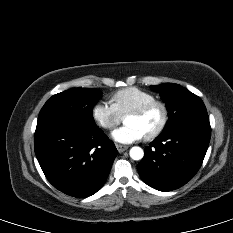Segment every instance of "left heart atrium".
<instances>
[{
  "mask_svg": "<svg viewBox=\"0 0 233 233\" xmlns=\"http://www.w3.org/2000/svg\"><path fill=\"white\" fill-rule=\"evenodd\" d=\"M145 137L144 133L133 124H125L112 132V138L123 144H129Z\"/></svg>",
  "mask_w": 233,
  "mask_h": 233,
  "instance_id": "1",
  "label": "left heart atrium"
}]
</instances>
